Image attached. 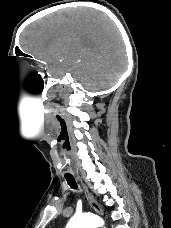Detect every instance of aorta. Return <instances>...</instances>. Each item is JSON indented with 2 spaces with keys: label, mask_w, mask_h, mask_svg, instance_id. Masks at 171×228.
Returning <instances> with one entry per match:
<instances>
[{
  "label": "aorta",
  "mask_w": 171,
  "mask_h": 228,
  "mask_svg": "<svg viewBox=\"0 0 171 228\" xmlns=\"http://www.w3.org/2000/svg\"><path fill=\"white\" fill-rule=\"evenodd\" d=\"M103 221L94 214L86 213L72 217L66 228H98Z\"/></svg>",
  "instance_id": "aorta-1"
}]
</instances>
